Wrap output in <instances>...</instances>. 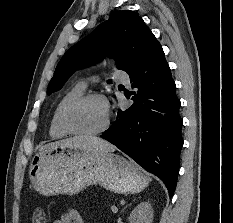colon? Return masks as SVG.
<instances>
[{"mask_svg":"<svg viewBox=\"0 0 233 223\" xmlns=\"http://www.w3.org/2000/svg\"><path fill=\"white\" fill-rule=\"evenodd\" d=\"M39 212H41V210H39ZM33 223H44V215L40 214V213H36L33 217L32 220Z\"/></svg>","mask_w":233,"mask_h":223,"instance_id":"obj_1","label":"colon"}]
</instances>
